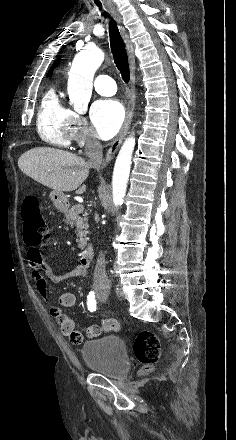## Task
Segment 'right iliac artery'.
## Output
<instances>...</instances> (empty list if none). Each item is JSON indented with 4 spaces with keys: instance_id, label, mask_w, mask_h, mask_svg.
Wrapping results in <instances>:
<instances>
[{
    "instance_id": "1",
    "label": "right iliac artery",
    "mask_w": 236,
    "mask_h": 440,
    "mask_svg": "<svg viewBox=\"0 0 236 440\" xmlns=\"http://www.w3.org/2000/svg\"><path fill=\"white\" fill-rule=\"evenodd\" d=\"M87 307L90 312L96 311L97 309L94 291H90L89 295L87 296Z\"/></svg>"
}]
</instances>
